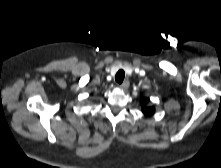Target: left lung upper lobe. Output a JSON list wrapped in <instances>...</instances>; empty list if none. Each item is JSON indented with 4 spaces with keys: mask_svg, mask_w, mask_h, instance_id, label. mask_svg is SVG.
Masks as SVG:
<instances>
[{
    "mask_svg": "<svg viewBox=\"0 0 221 168\" xmlns=\"http://www.w3.org/2000/svg\"><path fill=\"white\" fill-rule=\"evenodd\" d=\"M149 99H145V102H148ZM142 112L145 114V116H152L155 112V108L154 107H145L142 109Z\"/></svg>",
    "mask_w": 221,
    "mask_h": 168,
    "instance_id": "obj_1",
    "label": "left lung upper lobe"
}]
</instances>
